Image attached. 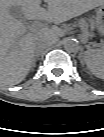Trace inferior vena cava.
I'll return each mask as SVG.
<instances>
[{
  "instance_id": "1",
  "label": "inferior vena cava",
  "mask_w": 104,
  "mask_h": 137,
  "mask_svg": "<svg viewBox=\"0 0 104 137\" xmlns=\"http://www.w3.org/2000/svg\"><path fill=\"white\" fill-rule=\"evenodd\" d=\"M47 46H48L47 43H41V44H39L38 47L35 50L36 55H39V54L43 53L44 50L47 48Z\"/></svg>"
}]
</instances>
